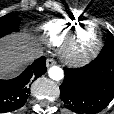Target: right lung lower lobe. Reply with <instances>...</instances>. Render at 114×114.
I'll list each match as a JSON object with an SVG mask.
<instances>
[{"mask_svg": "<svg viewBox=\"0 0 114 114\" xmlns=\"http://www.w3.org/2000/svg\"><path fill=\"white\" fill-rule=\"evenodd\" d=\"M46 59L41 57L17 78L0 80V113L15 111L25 105L30 84L46 72Z\"/></svg>", "mask_w": 114, "mask_h": 114, "instance_id": "98d812e1", "label": "right lung lower lobe"}]
</instances>
